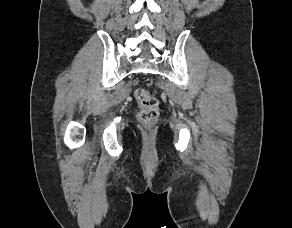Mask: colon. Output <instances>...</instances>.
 Masks as SVG:
<instances>
[{"instance_id": "colon-1", "label": "colon", "mask_w": 292, "mask_h": 228, "mask_svg": "<svg viewBox=\"0 0 292 228\" xmlns=\"http://www.w3.org/2000/svg\"><path fill=\"white\" fill-rule=\"evenodd\" d=\"M135 98L139 105L138 119L145 125H152L159 115L158 100L147 90L139 88L135 91Z\"/></svg>"}]
</instances>
